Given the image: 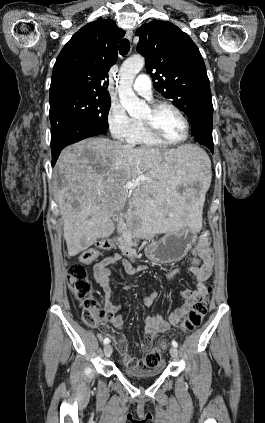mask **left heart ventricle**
I'll use <instances>...</instances> for the list:
<instances>
[{
  "instance_id": "obj_1",
  "label": "left heart ventricle",
  "mask_w": 265,
  "mask_h": 423,
  "mask_svg": "<svg viewBox=\"0 0 265 423\" xmlns=\"http://www.w3.org/2000/svg\"><path fill=\"white\" fill-rule=\"evenodd\" d=\"M147 119H152L159 132L169 140L177 141L184 137L185 126L182 119L169 108H163L155 114L147 108L141 120Z\"/></svg>"
}]
</instances>
